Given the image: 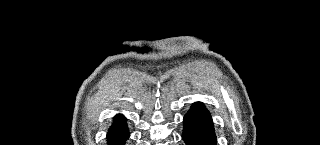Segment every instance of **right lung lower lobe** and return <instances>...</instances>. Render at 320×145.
<instances>
[{
	"mask_svg": "<svg viewBox=\"0 0 320 145\" xmlns=\"http://www.w3.org/2000/svg\"><path fill=\"white\" fill-rule=\"evenodd\" d=\"M128 137L126 118L119 114L115 116L114 122L107 133V141L110 145H123Z\"/></svg>",
	"mask_w": 320,
	"mask_h": 145,
	"instance_id": "98d812e1",
	"label": "right lung lower lobe"
}]
</instances>
